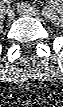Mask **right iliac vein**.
<instances>
[{
	"instance_id": "63e3f726",
	"label": "right iliac vein",
	"mask_w": 63,
	"mask_h": 107,
	"mask_svg": "<svg viewBox=\"0 0 63 107\" xmlns=\"http://www.w3.org/2000/svg\"><path fill=\"white\" fill-rule=\"evenodd\" d=\"M7 16L10 20H12L14 18L15 14H14V11L12 10V8H9L7 10Z\"/></svg>"
}]
</instances>
